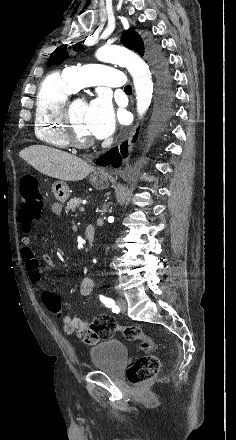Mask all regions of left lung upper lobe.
I'll return each mask as SVG.
<instances>
[{
	"label": "left lung upper lobe",
	"instance_id": "obj_1",
	"mask_svg": "<svg viewBox=\"0 0 236 440\" xmlns=\"http://www.w3.org/2000/svg\"><path fill=\"white\" fill-rule=\"evenodd\" d=\"M121 43L130 50H133L143 56L144 43L142 38L133 29L125 31L121 37ZM83 48L81 44L73 46L74 51H80ZM68 58L67 45L58 47L49 58L48 65H59Z\"/></svg>",
	"mask_w": 236,
	"mask_h": 440
}]
</instances>
